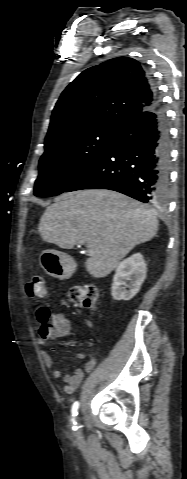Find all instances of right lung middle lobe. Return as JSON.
<instances>
[{
  "label": "right lung middle lobe",
  "instance_id": "right-lung-middle-lobe-1",
  "mask_svg": "<svg viewBox=\"0 0 187 479\" xmlns=\"http://www.w3.org/2000/svg\"><path fill=\"white\" fill-rule=\"evenodd\" d=\"M120 130L94 126L68 132L46 143L34 194L50 197L65 192L105 152Z\"/></svg>",
  "mask_w": 187,
  "mask_h": 479
}]
</instances>
